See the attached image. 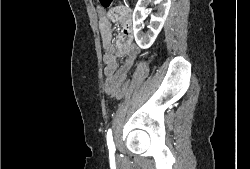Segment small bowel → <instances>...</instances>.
<instances>
[{"label":"small bowel","mask_w":250,"mask_h":169,"mask_svg":"<svg viewBox=\"0 0 250 169\" xmlns=\"http://www.w3.org/2000/svg\"><path fill=\"white\" fill-rule=\"evenodd\" d=\"M119 14L122 20H126L127 16L124 10L119 9ZM113 17V13H108V15L102 18L100 24L101 37L104 47L103 61L105 63L104 91L107 95H113L112 93L113 91H116V89H127L118 88V83H128L124 81V78L128 77L134 60L139 55V49L133 43H124L123 45H119V47H114L112 45V37L108 22ZM125 25L124 34L128 37L129 29L127 28V24ZM122 56L125 57V61L122 65H119L118 59Z\"/></svg>","instance_id":"1"}]
</instances>
